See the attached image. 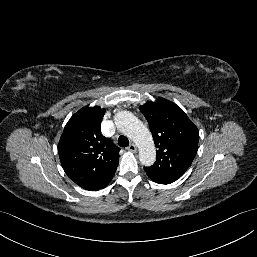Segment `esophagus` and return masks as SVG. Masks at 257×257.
Segmentation results:
<instances>
[{
    "mask_svg": "<svg viewBox=\"0 0 257 257\" xmlns=\"http://www.w3.org/2000/svg\"><path fill=\"white\" fill-rule=\"evenodd\" d=\"M127 149H128L130 152H133V153H135V152L137 151V147H136V145L133 144V143H131V144L127 147Z\"/></svg>",
    "mask_w": 257,
    "mask_h": 257,
    "instance_id": "obj_1",
    "label": "esophagus"
}]
</instances>
